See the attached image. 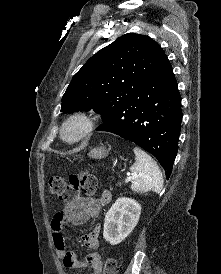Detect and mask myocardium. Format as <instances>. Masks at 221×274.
<instances>
[{"mask_svg": "<svg viewBox=\"0 0 221 274\" xmlns=\"http://www.w3.org/2000/svg\"><path fill=\"white\" fill-rule=\"evenodd\" d=\"M95 127V118L85 111L70 114L61 124L59 136L67 144H75L88 136Z\"/></svg>", "mask_w": 221, "mask_h": 274, "instance_id": "1", "label": "myocardium"}]
</instances>
